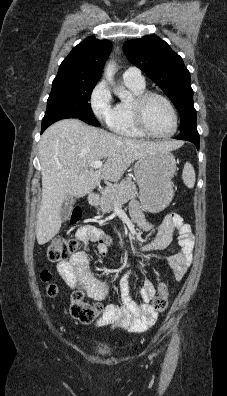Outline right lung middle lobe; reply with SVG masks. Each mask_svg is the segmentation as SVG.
I'll return each instance as SVG.
<instances>
[{
  "instance_id": "dd1d6c3e",
  "label": "right lung middle lobe",
  "mask_w": 227,
  "mask_h": 396,
  "mask_svg": "<svg viewBox=\"0 0 227 396\" xmlns=\"http://www.w3.org/2000/svg\"><path fill=\"white\" fill-rule=\"evenodd\" d=\"M96 83L97 81L56 76L47 100L44 118L68 114L87 124L100 126L89 103Z\"/></svg>"
}]
</instances>
